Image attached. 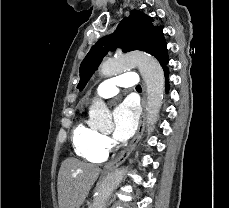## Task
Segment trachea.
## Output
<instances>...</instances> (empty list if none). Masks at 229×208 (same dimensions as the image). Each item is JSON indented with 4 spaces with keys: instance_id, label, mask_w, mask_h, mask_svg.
<instances>
[{
    "instance_id": "1",
    "label": "trachea",
    "mask_w": 229,
    "mask_h": 208,
    "mask_svg": "<svg viewBox=\"0 0 229 208\" xmlns=\"http://www.w3.org/2000/svg\"><path fill=\"white\" fill-rule=\"evenodd\" d=\"M136 88H141V86L140 85H137Z\"/></svg>"
}]
</instances>
